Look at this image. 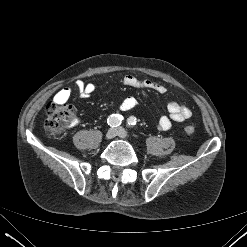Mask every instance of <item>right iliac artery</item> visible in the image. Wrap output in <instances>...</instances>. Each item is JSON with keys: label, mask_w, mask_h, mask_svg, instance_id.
Returning <instances> with one entry per match:
<instances>
[{"label": "right iliac artery", "mask_w": 247, "mask_h": 247, "mask_svg": "<svg viewBox=\"0 0 247 247\" xmlns=\"http://www.w3.org/2000/svg\"><path fill=\"white\" fill-rule=\"evenodd\" d=\"M123 120V117L119 114H112L108 120L107 123L111 127H118L121 124V121Z\"/></svg>", "instance_id": "right-iliac-artery-1"}]
</instances>
